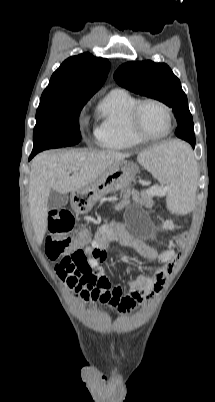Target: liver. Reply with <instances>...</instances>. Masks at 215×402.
Here are the masks:
<instances>
[{
    "label": "liver",
    "mask_w": 215,
    "mask_h": 402,
    "mask_svg": "<svg viewBox=\"0 0 215 402\" xmlns=\"http://www.w3.org/2000/svg\"><path fill=\"white\" fill-rule=\"evenodd\" d=\"M127 157L128 154L115 151L95 153L73 150L38 154L32 160L28 189L30 217L38 244L42 243L47 230V202L51 190L62 194L80 190ZM72 168H78V171L70 176Z\"/></svg>",
    "instance_id": "1"
}]
</instances>
